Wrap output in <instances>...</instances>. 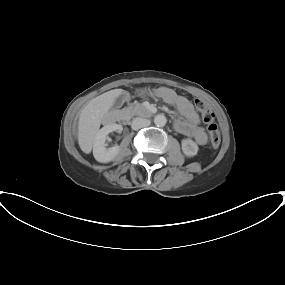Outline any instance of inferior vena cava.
I'll return each mask as SVG.
<instances>
[{
    "instance_id": "inferior-vena-cava-1",
    "label": "inferior vena cava",
    "mask_w": 285,
    "mask_h": 285,
    "mask_svg": "<svg viewBox=\"0 0 285 285\" xmlns=\"http://www.w3.org/2000/svg\"><path fill=\"white\" fill-rule=\"evenodd\" d=\"M150 123L151 122L148 119L136 117L135 119H133L131 127L133 130H138L140 128L149 126Z\"/></svg>"
}]
</instances>
